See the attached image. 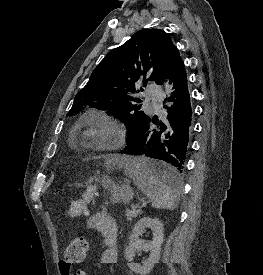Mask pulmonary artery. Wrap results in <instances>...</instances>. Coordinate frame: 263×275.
I'll list each match as a JSON object with an SVG mask.
<instances>
[{
  "label": "pulmonary artery",
  "mask_w": 263,
  "mask_h": 275,
  "mask_svg": "<svg viewBox=\"0 0 263 275\" xmlns=\"http://www.w3.org/2000/svg\"><path fill=\"white\" fill-rule=\"evenodd\" d=\"M147 100L151 102L152 106L159 109L163 100L162 92L157 85H150L146 90Z\"/></svg>",
  "instance_id": "pulmonary-artery-1"
}]
</instances>
